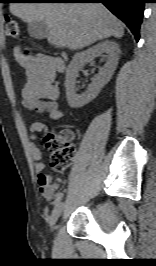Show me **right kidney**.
<instances>
[{"label":"right kidney","instance_id":"right-kidney-1","mask_svg":"<svg viewBox=\"0 0 156 266\" xmlns=\"http://www.w3.org/2000/svg\"><path fill=\"white\" fill-rule=\"evenodd\" d=\"M119 45L111 40L102 41L93 47L76 53L66 70V96L70 107L80 108L97 97L101 89L109 82L116 69L119 59ZM103 55L105 64L99 73L94 76L87 90L79 95L76 90V78L83 66L93 61L96 57Z\"/></svg>","mask_w":156,"mask_h":266}]
</instances>
